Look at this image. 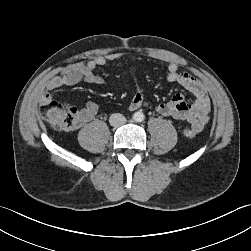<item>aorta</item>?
<instances>
[{"label": "aorta", "instance_id": "1", "mask_svg": "<svg viewBox=\"0 0 251 251\" xmlns=\"http://www.w3.org/2000/svg\"><path fill=\"white\" fill-rule=\"evenodd\" d=\"M145 116L142 112H135L133 115V120L135 122H142L144 120Z\"/></svg>", "mask_w": 251, "mask_h": 251}]
</instances>
